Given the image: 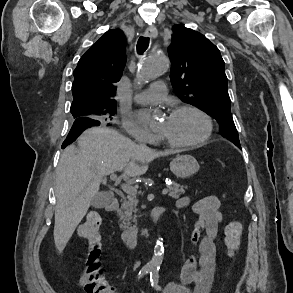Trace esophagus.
Listing matches in <instances>:
<instances>
[{"instance_id": "obj_1", "label": "esophagus", "mask_w": 293, "mask_h": 293, "mask_svg": "<svg viewBox=\"0 0 293 293\" xmlns=\"http://www.w3.org/2000/svg\"><path fill=\"white\" fill-rule=\"evenodd\" d=\"M144 36L150 37V38H155L157 37V29L155 27H149L145 30Z\"/></svg>"}]
</instances>
